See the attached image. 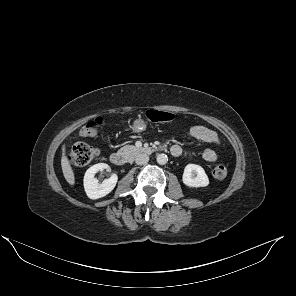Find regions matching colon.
Segmentation results:
<instances>
[{
    "label": "colon",
    "mask_w": 296,
    "mask_h": 296,
    "mask_svg": "<svg viewBox=\"0 0 296 296\" xmlns=\"http://www.w3.org/2000/svg\"><path fill=\"white\" fill-rule=\"evenodd\" d=\"M146 117L149 121L154 123H165L172 121L175 116L173 113L167 111L148 110L146 112ZM100 124L101 119H95L88 122L81 129V136L95 137ZM97 154L98 151L93 146L84 142H77L73 145L68 154V162L73 166H86L96 158ZM212 173L215 178L223 179L227 175V168L224 165H217L214 167Z\"/></svg>",
    "instance_id": "obj_1"
}]
</instances>
